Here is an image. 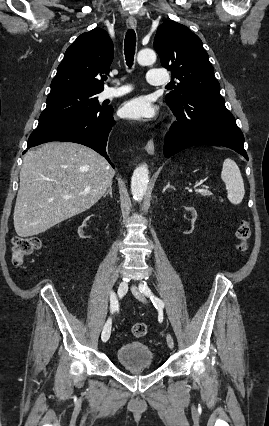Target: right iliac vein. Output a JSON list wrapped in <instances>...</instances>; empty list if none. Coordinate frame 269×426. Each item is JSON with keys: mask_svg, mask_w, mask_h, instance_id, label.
<instances>
[{"mask_svg": "<svg viewBox=\"0 0 269 426\" xmlns=\"http://www.w3.org/2000/svg\"><path fill=\"white\" fill-rule=\"evenodd\" d=\"M128 289V285L125 281L120 282L119 286H118V295L119 297H123ZM111 325H112V319L109 318L105 325L103 326V330H102V334H101V339L103 342H106L111 334Z\"/></svg>", "mask_w": 269, "mask_h": 426, "instance_id": "1", "label": "right iliac vein"}]
</instances>
